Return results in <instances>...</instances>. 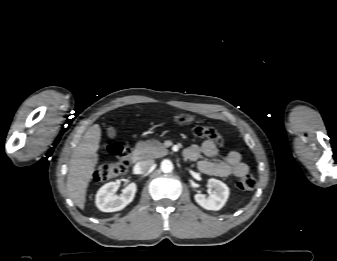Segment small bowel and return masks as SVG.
<instances>
[{"label": "small bowel", "instance_id": "obj_1", "mask_svg": "<svg viewBox=\"0 0 337 261\" xmlns=\"http://www.w3.org/2000/svg\"><path fill=\"white\" fill-rule=\"evenodd\" d=\"M183 154L186 159L197 161L202 155L208 158L216 157L218 148L214 142L206 140L201 145L189 146ZM198 169L204 174L218 177H241L249 171L247 164L243 162L241 154L237 151H230L220 162L201 159L198 161Z\"/></svg>", "mask_w": 337, "mask_h": 261}]
</instances>
